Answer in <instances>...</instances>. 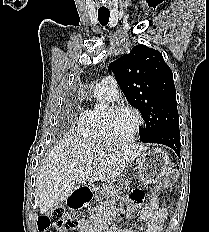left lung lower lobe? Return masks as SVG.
Segmentation results:
<instances>
[{
  "label": "left lung lower lobe",
  "mask_w": 209,
  "mask_h": 232,
  "mask_svg": "<svg viewBox=\"0 0 209 232\" xmlns=\"http://www.w3.org/2000/svg\"><path fill=\"white\" fill-rule=\"evenodd\" d=\"M150 143H157L166 145L172 148L176 154L180 157V131L179 124L167 126L160 130L153 139H150Z\"/></svg>",
  "instance_id": "1"
}]
</instances>
